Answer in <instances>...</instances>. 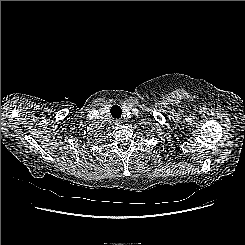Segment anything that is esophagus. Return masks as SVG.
I'll use <instances>...</instances> for the list:
<instances>
[{
    "instance_id": "34e87169",
    "label": "esophagus",
    "mask_w": 245,
    "mask_h": 245,
    "mask_svg": "<svg viewBox=\"0 0 245 245\" xmlns=\"http://www.w3.org/2000/svg\"><path fill=\"white\" fill-rule=\"evenodd\" d=\"M114 124L117 125V126H119V125L122 124V120L121 119H115L114 120Z\"/></svg>"
}]
</instances>
